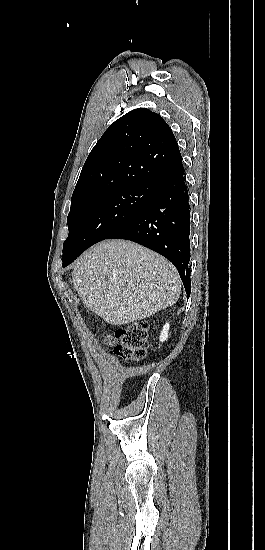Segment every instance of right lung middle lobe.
I'll return each mask as SVG.
<instances>
[{"instance_id":"right-lung-middle-lobe-1","label":"right lung middle lobe","mask_w":265,"mask_h":550,"mask_svg":"<svg viewBox=\"0 0 265 550\" xmlns=\"http://www.w3.org/2000/svg\"><path fill=\"white\" fill-rule=\"evenodd\" d=\"M155 187L138 185L72 203L67 217L69 235L63 245V266L137 218Z\"/></svg>"}]
</instances>
